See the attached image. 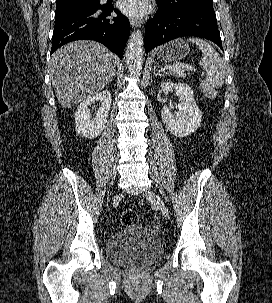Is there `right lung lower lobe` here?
Listing matches in <instances>:
<instances>
[{"label":"right lung lower lobe","instance_id":"right-lung-lower-lobe-1","mask_svg":"<svg viewBox=\"0 0 272 303\" xmlns=\"http://www.w3.org/2000/svg\"><path fill=\"white\" fill-rule=\"evenodd\" d=\"M113 11L117 17L108 19ZM129 35V20L113 7L72 12L55 17L51 53L70 41L90 39L104 44L122 59Z\"/></svg>","mask_w":272,"mask_h":303}]
</instances>
